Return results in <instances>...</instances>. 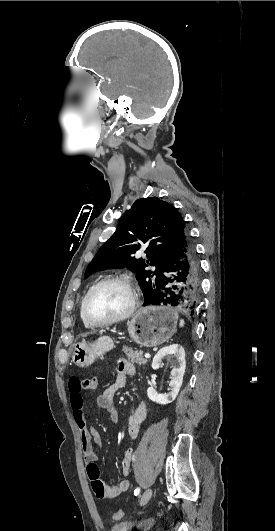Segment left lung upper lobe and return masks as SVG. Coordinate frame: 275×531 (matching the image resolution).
<instances>
[{"mask_svg": "<svg viewBox=\"0 0 275 531\" xmlns=\"http://www.w3.org/2000/svg\"><path fill=\"white\" fill-rule=\"evenodd\" d=\"M185 230L183 218L171 204L157 197L138 199L88 265L85 278L97 271L127 267L136 273L144 305L152 304L164 287L169 257ZM141 249H146L148 260L135 258ZM148 265L155 266V271L146 270Z\"/></svg>", "mask_w": 275, "mask_h": 531, "instance_id": "1", "label": "left lung upper lobe"}]
</instances>
